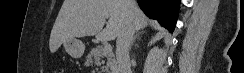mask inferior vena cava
I'll return each instance as SVG.
<instances>
[{
  "label": "inferior vena cava",
  "instance_id": "602c4592",
  "mask_svg": "<svg viewBox=\"0 0 244 73\" xmlns=\"http://www.w3.org/2000/svg\"><path fill=\"white\" fill-rule=\"evenodd\" d=\"M124 24L116 41V59L119 73H131L129 48L135 32V0H124Z\"/></svg>",
  "mask_w": 244,
  "mask_h": 73
}]
</instances>
